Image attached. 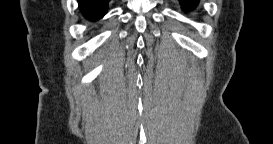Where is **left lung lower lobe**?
<instances>
[{
    "label": "left lung lower lobe",
    "mask_w": 273,
    "mask_h": 144,
    "mask_svg": "<svg viewBox=\"0 0 273 144\" xmlns=\"http://www.w3.org/2000/svg\"><path fill=\"white\" fill-rule=\"evenodd\" d=\"M199 0H180L182 7L185 11L194 9L198 5Z\"/></svg>",
    "instance_id": "left-lung-lower-lobe-1"
}]
</instances>
